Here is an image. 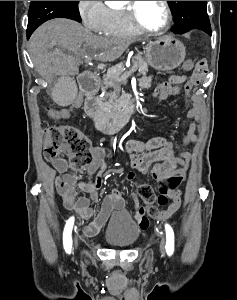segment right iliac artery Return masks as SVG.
I'll return each instance as SVG.
<instances>
[{
  "mask_svg": "<svg viewBox=\"0 0 237 300\" xmlns=\"http://www.w3.org/2000/svg\"><path fill=\"white\" fill-rule=\"evenodd\" d=\"M74 225V217H71L64 228V232H63V245H64V249L65 251L70 254L71 253V248H72V228Z\"/></svg>",
  "mask_w": 237,
  "mask_h": 300,
  "instance_id": "82829eb1",
  "label": "right iliac artery"
}]
</instances>
